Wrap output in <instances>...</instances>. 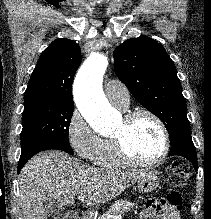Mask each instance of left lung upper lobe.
<instances>
[{
    "instance_id": "left-lung-upper-lobe-1",
    "label": "left lung upper lobe",
    "mask_w": 211,
    "mask_h": 219,
    "mask_svg": "<svg viewBox=\"0 0 211 219\" xmlns=\"http://www.w3.org/2000/svg\"><path fill=\"white\" fill-rule=\"evenodd\" d=\"M115 73L131 94L166 126L170 143L191 132L176 68L161 44L148 37L129 39L113 52Z\"/></svg>"
}]
</instances>
